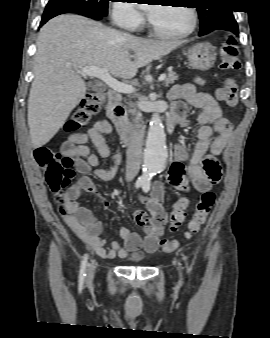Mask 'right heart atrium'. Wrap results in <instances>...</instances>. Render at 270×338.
<instances>
[{
  "mask_svg": "<svg viewBox=\"0 0 270 338\" xmlns=\"http://www.w3.org/2000/svg\"><path fill=\"white\" fill-rule=\"evenodd\" d=\"M112 18L116 25L127 29H137L144 23L143 14L136 9L133 3L127 1L114 4Z\"/></svg>",
  "mask_w": 270,
  "mask_h": 338,
  "instance_id": "obj_1",
  "label": "right heart atrium"
}]
</instances>
